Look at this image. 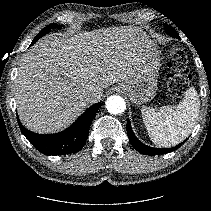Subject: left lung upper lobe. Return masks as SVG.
I'll return each mask as SVG.
<instances>
[{"mask_svg": "<svg viewBox=\"0 0 211 211\" xmlns=\"http://www.w3.org/2000/svg\"><path fill=\"white\" fill-rule=\"evenodd\" d=\"M164 28H165L166 33L169 36H172V37H175V38H179V36L177 35V33L169 25L164 24Z\"/></svg>", "mask_w": 211, "mask_h": 211, "instance_id": "1", "label": "left lung upper lobe"}]
</instances>
